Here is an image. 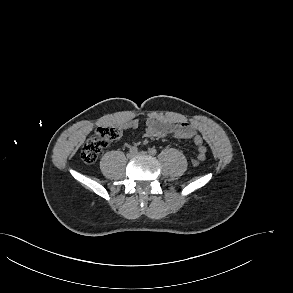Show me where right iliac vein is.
I'll use <instances>...</instances> for the list:
<instances>
[{
  "instance_id": "63e3f726",
  "label": "right iliac vein",
  "mask_w": 293,
  "mask_h": 293,
  "mask_svg": "<svg viewBox=\"0 0 293 293\" xmlns=\"http://www.w3.org/2000/svg\"><path fill=\"white\" fill-rule=\"evenodd\" d=\"M135 155H136L135 152H129V153L127 154V158L132 159V158L135 157Z\"/></svg>"
}]
</instances>
